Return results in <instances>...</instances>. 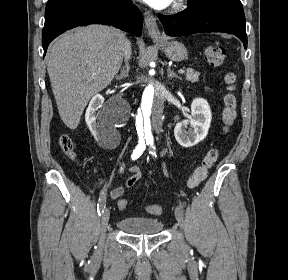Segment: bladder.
Returning <instances> with one entry per match:
<instances>
[{
    "label": "bladder",
    "mask_w": 288,
    "mask_h": 280,
    "mask_svg": "<svg viewBox=\"0 0 288 280\" xmlns=\"http://www.w3.org/2000/svg\"><path fill=\"white\" fill-rule=\"evenodd\" d=\"M117 226L128 234H156L163 229V222L154 217H124Z\"/></svg>",
    "instance_id": "1"
}]
</instances>
